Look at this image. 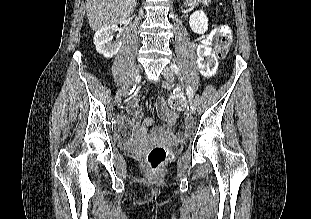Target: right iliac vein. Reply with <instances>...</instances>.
I'll return each mask as SVG.
<instances>
[{
  "label": "right iliac vein",
  "instance_id": "1",
  "mask_svg": "<svg viewBox=\"0 0 311 219\" xmlns=\"http://www.w3.org/2000/svg\"><path fill=\"white\" fill-rule=\"evenodd\" d=\"M140 70H141L140 65H136L133 67V69L129 73L128 77L126 78L123 86L121 87V89L117 93V101H119L121 99V97L126 94L127 90L130 88V86L133 84L135 79L138 77Z\"/></svg>",
  "mask_w": 311,
  "mask_h": 219
}]
</instances>
